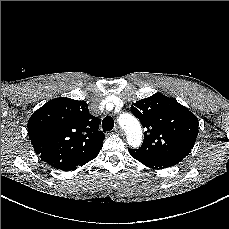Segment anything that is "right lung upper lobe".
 <instances>
[{"label": "right lung upper lobe", "instance_id": "1", "mask_svg": "<svg viewBox=\"0 0 229 229\" xmlns=\"http://www.w3.org/2000/svg\"><path fill=\"white\" fill-rule=\"evenodd\" d=\"M27 127L35 153L63 171L95 157L105 137L87 103L70 98L45 103L30 117Z\"/></svg>", "mask_w": 229, "mask_h": 229}]
</instances>
